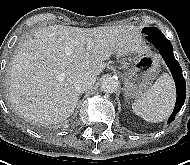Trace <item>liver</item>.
Masks as SVG:
<instances>
[{
    "label": "liver",
    "instance_id": "obj_1",
    "mask_svg": "<svg viewBox=\"0 0 190 165\" xmlns=\"http://www.w3.org/2000/svg\"><path fill=\"white\" fill-rule=\"evenodd\" d=\"M93 41L91 49L87 43ZM137 28H79L52 25L38 29L19 46L10 62L9 101L18 115L48 125L74 112L80 74L99 75L111 55L139 53Z\"/></svg>",
    "mask_w": 190,
    "mask_h": 165
}]
</instances>
